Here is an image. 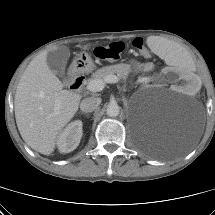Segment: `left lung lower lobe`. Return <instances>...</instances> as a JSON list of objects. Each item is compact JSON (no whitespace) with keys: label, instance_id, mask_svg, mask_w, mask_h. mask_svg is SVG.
Instances as JSON below:
<instances>
[{"label":"left lung lower lobe","instance_id":"1","mask_svg":"<svg viewBox=\"0 0 215 215\" xmlns=\"http://www.w3.org/2000/svg\"><path fill=\"white\" fill-rule=\"evenodd\" d=\"M176 152H177L176 149H174V148H169V149L163 151L162 154L167 155V156H170V155L175 154Z\"/></svg>","mask_w":215,"mask_h":215}]
</instances>
